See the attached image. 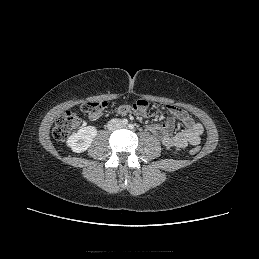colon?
Wrapping results in <instances>:
<instances>
[{
    "mask_svg": "<svg viewBox=\"0 0 259 259\" xmlns=\"http://www.w3.org/2000/svg\"><path fill=\"white\" fill-rule=\"evenodd\" d=\"M107 102H87L82 105V110L87 114L90 121H97L107 108ZM148 110V103L145 100H137L131 105H120L115 108L118 114H127L128 112H143ZM82 124L81 116L72 111H66L58 116L53 128V136L58 141L65 140L68 135L79 128ZM199 152V147L194 146L190 153L195 155Z\"/></svg>",
    "mask_w": 259,
    "mask_h": 259,
    "instance_id": "1",
    "label": "colon"
}]
</instances>
